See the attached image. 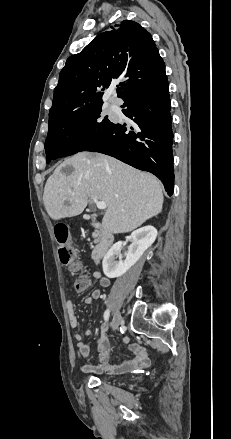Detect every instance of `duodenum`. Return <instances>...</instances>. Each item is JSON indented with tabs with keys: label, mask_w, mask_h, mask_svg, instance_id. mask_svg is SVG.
Returning a JSON list of instances; mask_svg holds the SVG:
<instances>
[{
	"label": "duodenum",
	"mask_w": 231,
	"mask_h": 439,
	"mask_svg": "<svg viewBox=\"0 0 231 439\" xmlns=\"http://www.w3.org/2000/svg\"><path fill=\"white\" fill-rule=\"evenodd\" d=\"M93 226L96 229L98 243L92 251V259L95 263H99L106 255L110 246L113 244L114 235L112 232L104 228L99 222H94Z\"/></svg>",
	"instance_id": "obj_1"
}]
</instances>
